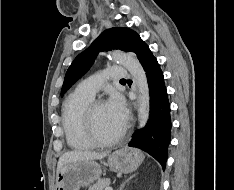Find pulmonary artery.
Wrapping results in <instances>:
<instances>
[{"label": "pulmonary artery", "instance_id": "obj_1", "mask_svg": "<svg viewBox=\"0 0 234 190\" xmlns=\"http://www.w3.org/2000/svg\"><path fill=\"white\" fill-rule=\"evenodd\" d=\"M129 76V70L124 66L106 67L102 74L91 76L76 87V91L94 97L99 89L108 81H119Z\"/></svg>", "mask_w": 234, "mask_h": 190}]
</instances>
